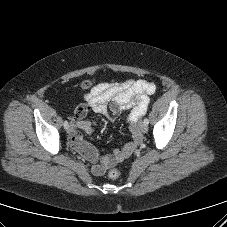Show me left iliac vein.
Returning a JSON list of instances; mask_svg holds the SVG:
<instances>
[{
	"label": "left iliac vein",
	"instance_id": "obj_1",
	"mask_svg": "<svg viewBox=\"0 0 227 227\" xmlns=\"http://www.w3.org/2000/svg\"><path fill=\"white\" fill-rule=\"evenodd\" d=\"M139 129H140L141 132L145 133L148 130V126L144 122H141L139 124Z\"/></svg>",
	"mask_w": 227,
	"mask_h": 227
}]
</instances>
